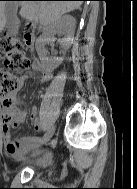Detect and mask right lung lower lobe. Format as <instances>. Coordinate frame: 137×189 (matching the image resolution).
Returning a JSON list of instances; mask_svg holds the SVG:
<instances>
[{
	"mask_svg": "<svg viewBox=\"0 0 137 189\" xmlns=\"http://www.w3.org/2000/svg\"><path fill=\"white\" fill-rule=\"evenodd\" d=\"M76 1H85V0H76Z\"/></svg>",
	"mask_w": 137,
	"mask_h": 189,
	"instance_id": "1",
	"label": "right lung lower lobe"
}]
</instances>
